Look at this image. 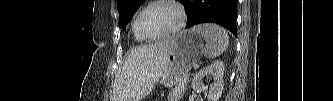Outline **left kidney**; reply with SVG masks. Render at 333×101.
I'll list each match as a JSON object with an SVG mask.
<instances>
[{"label":"left kidney","instance_id":"1","mask_svg":"<svg viewBox=\"0 0 333 101\" xmlns=\"http://www.w3.org/2000/svg\"><path fill=\"white\" fill-rule=\"evenodd\" d=\"M224 70L225 66L223 61H214L195 74L192 80V88L198 91L206 90L208 101H218L224 87ZM205 77L213 79L209 87L205 86L203 83Z\"/></svg>","mask_w":333,"mask_h":101}]
</instances>
